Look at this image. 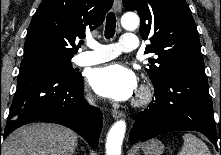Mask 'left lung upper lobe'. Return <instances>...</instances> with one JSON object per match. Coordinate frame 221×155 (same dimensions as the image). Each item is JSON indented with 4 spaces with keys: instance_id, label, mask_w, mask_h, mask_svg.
Here are the masks:
<instances>
[{
    "instance_id": "left-lung-upper-lobe-1",
    "label": "left lung upper lobe",
    "mask_w": 221,
    "mask_h": 155,
    "mask_svg": "<svg viewBox=\"0 0 221 155\" xmlns=\"http://www.w3.org/2000/svg\"><path fill=\"white\" fill-rule=\"evenodd\" d=\"M123 5L138 12L140 34L151 41L147 53L158 56L145 69L153 85L179 69H204L197 28L185 0H123Z\"/></svg>"
}]
</instances>
